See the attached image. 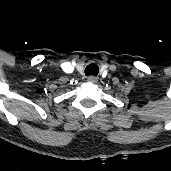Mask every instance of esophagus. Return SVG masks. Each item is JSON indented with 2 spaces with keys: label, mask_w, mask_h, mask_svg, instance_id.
Masks as SVG:
<instances>
[{
  "label": "esophagus",
  "mask_w": 171,
  "mask_h": 171,
  "mask_svg": "<svg viewBox=\"0 0 171 171\" xmlns=\"http://www.w3.org/2000/svg\"><path fill=\"white\" fill-rule=\"evenodd\" d=\"M87 81H88L89 83H96V82H97V77H95V76H89V77L87 78Z\"/></svg>",
  "instance_id": "esophagus-1"
}]
</instances>
